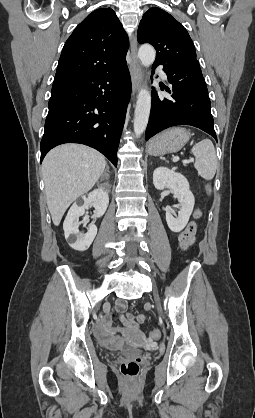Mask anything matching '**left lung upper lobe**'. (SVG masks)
Instances as JSON below:
<instances>
[{"label":"left lung upper lobe","mask_w":255,"mask_h":418,"mask_svg":"<svg viewBox=\"0 0 255 418\" xmlns=\"http://www.w3.org/2000/svg\"><path fill=\"white\" fill-rule=\"evenodd\" d=\"M137 39L156 49L155 63L162 65L196 61L194 44L186 29L169 13L153 7L142 17Z\"/></svg>","instance_id":"left-lung-upper-lobe-1"}]
</instances>
